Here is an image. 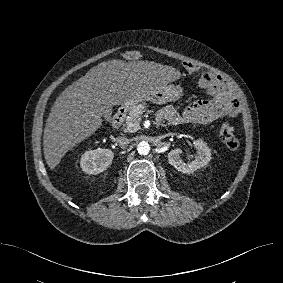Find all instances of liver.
<instances>
[{"label": "liver", "mask_w": 283, "mask_h": 283, "mask_svg": "<svg viewBox=\"0 0 283 283\" xmlns=\"http://www.w3.org/2000/svg\"><path fill=\"white\" fill-rule=\"evenodd\" d=\"M179 77L175 68L150 61L113 59L91 68L59 95L48 116L43 152L49 168L55 169L69 150L94 134L113 106Z\"/></svg>", "instance_id": "obj_1"}]
</instances>
